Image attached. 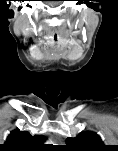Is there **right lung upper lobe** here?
<instances>
[{"label":"right lung upper lobe","mask_w":118,"mask_h":151,"mask_svg":"<svg viewBox=\"0 0 118 151\" xmlns=\"http://www.w3.org/2000/svg\"><path fill=\"white\" fill-rule=\"evenodd\" d=\"M45 139L43 135L31 136L27 131L13 130L8 135L5 144L0 147L6 151L42 150Z\"/></svg>","instance_id":"right-lung-upper-lobe-1"}]
</instances>
